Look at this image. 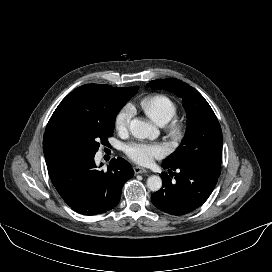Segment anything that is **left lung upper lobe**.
I'll return each mask as SVG.
<instances>
[{"mask_svg":"<svg viewBox=\"0 0 272 272\" xmlns=\"http://www.w3.org/2000/svg\"><path fill=\"white\" fill-rule=\"evenodd\" d=\"M148 85L155 89L167 90L182 98L187 112L186 138L163 163L170 166L187 163L220 174L222 131L205 98L193 87L174 78L153 80Z\"/></svg>","mask_w":272,"mask_h":272,"instance_id":"1","label":"left lung upper lobe"}]
</instances>
